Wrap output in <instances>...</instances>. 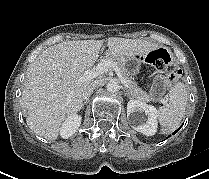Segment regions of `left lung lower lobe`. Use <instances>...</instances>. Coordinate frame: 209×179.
I'll return each mask as SVG.
<instances>
[{"mask_svg": "<svg viewBox=\"0 0 209 179\" xmlns=\"http://www.w3.org/2000/svg\"><path fill=\"white\" fill-rule=\"evenodd\" d=\"M180 128H181V126H180L175 132H173V134L177 133V131H178Z\"/></svg>", "mask_w": 209, "mask_h": 179, "instance_id": "obj_1", "label": "left lung lower lobe"}]
</instances>
